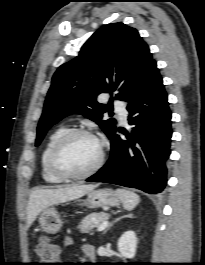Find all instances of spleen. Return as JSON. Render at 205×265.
I'll return each instance as SVG.
<instances>
[{
    "mask_svg": "<svg viewBox=\"0 0 205 265\" xmlns=\"http://www.w3.org/2000/svg\"><path fill=\"white\" fill-rule=\"evenodd\" d=\"M116 194L126 210H133L140 202V197L133 191L118 188Z\"/></svg>",
    "mask_w": 205,
    "mask_h": 265,
    "instance_id": "1",
    "label": "spleen"
}]
</instances>
